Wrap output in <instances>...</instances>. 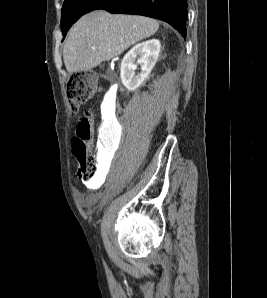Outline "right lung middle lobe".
Returning a JSON list of instances; mask_svg holds the SVG:
<instances>
[{"label":"right lung middle lobe","mask_w":267,"mask_h":298,"mask_svg":"<svg viewBox=\"0 0 267 298\" xmlns=\"http://www.w3.org/2000/svg\"><path fill=\"white\" fill-rule=\"evenodd\" d=\"M97 0H64L61 16V29L65 37L67 31L82 15L90 12Z\"/></svg>","instance_id":"obj_1"}]
</instances>
